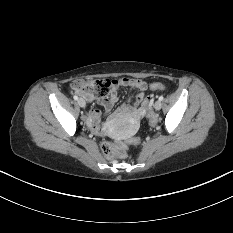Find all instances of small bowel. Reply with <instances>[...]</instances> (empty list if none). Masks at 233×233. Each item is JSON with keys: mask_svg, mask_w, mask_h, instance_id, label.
Masks as SVG:
<instances>
[{"mask_svg": "<svg viewBox=\"0 0 233 233\" xmlns=\"http://www.w3.org/2000/svg\"><path fill=\"white\" fill-rule=\"evenodd\" d=\"M121 87H130L135 91V94L129 98L127 103H124L119 107L117 113L118 115H128L131 121L135 122L145 114L142 107H140L144 93L147 89V84L143 80L121 78L111 81L109 97L98 99L99 104L106 112L110 111L113 105L119 100L118 90ZM87 122L93 131L98 133L103 131L100 124V111L98 109L93 108L89 111Z\"/></svg>", "mask_w": 233, "mask_h": 233, "instance_id": "small-bowel-1", "label": "small bowel"}]
</instances>
